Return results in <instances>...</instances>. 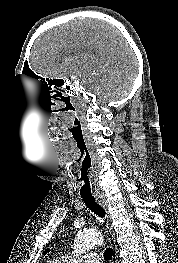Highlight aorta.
<instances>
[{
    "mask_svg": "<svg viewBox=\"0 0 178 263\" xmlns=\"http://www.w3.org/2000/svg\"><path fill=\"white\" fill-rule=\"evenodd\" d=\"M103 242V236L100 232L93 230H81L74 241V250L76 252V258L69 260V263H78L79 256L94 248L95 246Z\"/></svg>",
    "mask_w": 178,
    "mask_h": 263,
    "instance_id": "762f6f07",
    "label": "aorta"
}]
</instances>
